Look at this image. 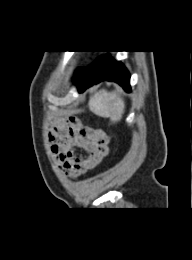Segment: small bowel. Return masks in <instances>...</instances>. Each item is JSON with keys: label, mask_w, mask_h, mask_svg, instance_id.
<instances>
[{"label": "small bowel", "mask_w": 192, "mask_h": 260, "mask_svg": "<svg viewBox=\"0 0 192 260\" xmlns=\"http://www.w3.org/2000/svg\"><path fill=\"white\" fill-rule=\"evenodd\" d=\"M49 140L55 162L72 179H78L97 167L108 151L106 133L101 129L85 126L75 117L57 121ZM75 148L84 149L87 156L77 157Z\"/></svg>", "instance_id": "obj_1"}]
</instances>
